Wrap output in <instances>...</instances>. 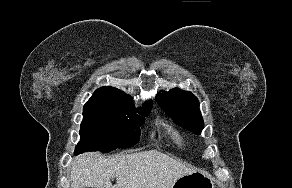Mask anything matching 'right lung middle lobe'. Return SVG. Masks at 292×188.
I'll return each instance as SVG.
<instances>
[{
    "instance_id": "obj_1",
    "label": "right lung middle lobe",
    "mask_w": 292,
    "mask_h": 188,
    "mask_svg": "<svg viewBox=\"0 0 292 188\" xmlns=\"http://www.w3.org/2000/svg\"><path fill=\"white\" fill-rule=\"evenodd\" d=\"M128 95L119 92L96 90L83 108L80 127V142L75 154L85 151L109 152L117 148H128L139 141V127L147 116L152 102L143 109H135Z\"/></svg>"
}]
</instances>
